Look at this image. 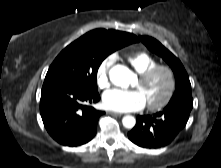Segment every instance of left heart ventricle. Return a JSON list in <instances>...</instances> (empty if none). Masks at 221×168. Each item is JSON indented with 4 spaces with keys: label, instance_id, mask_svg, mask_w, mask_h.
I'll return each mask as SVG.
<instances>
[{
    "label": "left heart ventricle",
    "instance_id": "1",
    "mask_svg": "<svg viewBox=\"0 0 221 168\" xmlns=\"http://www.w3.org/2000/svg\"><path fill=\"white\" fill-rule=\"evenodd\" d=\"M135 88L143 94L146 103H157L163 99L167 92V75L164 72H159L146 83H141L138 79Z\"/></svg>",
    "mask_w": 221,
    "mask_h": 168
}]
</instances>
